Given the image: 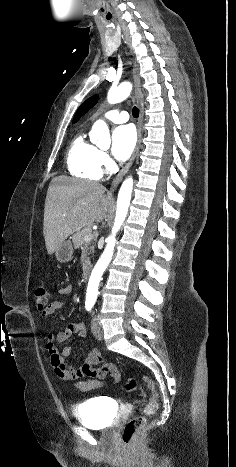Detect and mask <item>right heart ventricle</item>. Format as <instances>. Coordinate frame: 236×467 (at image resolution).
<instances>
[{
    "label": "right heart ventricle",
    "mask_w": 236,
    "mask_h": 467,
    "mask_svg": "<svg viewBox=\"0 0 236 467\" xmlns=\"http://www.w3.org/2000/svg\"><path fill=\"white\" fill-rule=\"evenodd\" d=\"M98 153V148L88 142L83 133L77 134L66 155L68 172L76 178L99 180L102 172L98 162Z\"/></svg>",
    "instance_id": "e07e8e85"
}]
</instances>
